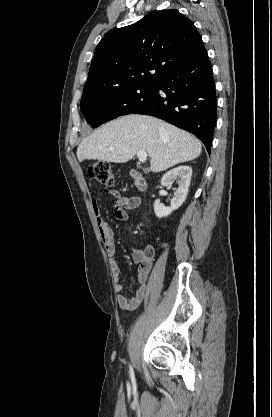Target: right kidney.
<instances>
[{
    "mask_svg": "<svg viewBox=\"0 0 272 417\" xmlns=\"http://www.w3.org/2000/svg\"><path fill=\"white\" fill-rule=\"evenodd\" d=\"M192 169L189 166H179L168 171L161 179V185L168 187L172 181L179 178V186L171 200L170 207H165L160 200L154 202V212L158 218L170 215L174 210L178 209L186 200L188 189L191 182Z\"/></svg>",
    "mask_w": 272,
    "mask_h": 417,
    "instance_id": "1",
    "label": "right kidney"
}]
</instances>
